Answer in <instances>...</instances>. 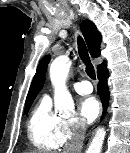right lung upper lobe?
<instances>
[{
	"instance_id": "right-lung-upper-lobe-1",
	"label": "right lung upper lobe",
	"mask_w": 130,
	"mask_h": 153,
	"mask_svg": "<svg viewBox=\"0 0 130 153\" xmlns=\"http://www.w3.org/2000/svg\"><path fill=\"white\" fill-rule=\"evenodd\" d=\"M80 29L81 32L83 33V36L85 38L91 56L93 58L98 57L100 55V45H101L100 32L97 30L96 26L89 20H84L80 25ZM49 61H50L49 55H46L40 61L37 67L36 74L33 78L31 87L29 89L26 98V103L33 101L36 98L39 91L42 89ZM103 66H105V63H102L98 66V71Z\"/></svg>"
}]
</instances>
